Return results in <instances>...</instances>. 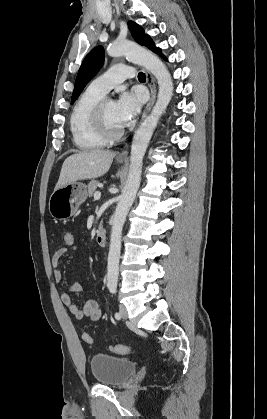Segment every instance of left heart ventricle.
<instances>
[{
	"instance_id": "b2bd125f",
	"label": "left heart ventricle",
	"mask_w": 267,
	"mask_h": 419,
	"mask_svg": "<svg viewBox=\"0 0 267 419\" xmlns=\"http://www.w3.org/2000/svg\"><path fill=\"white\" fill-rule=\"evenodd\" d=\"M105 117L107 125L111 130L117 131L124 127L119 121L115 101L110 100L107 102L105 107Z\"/></svg>"
}]
</instances>
